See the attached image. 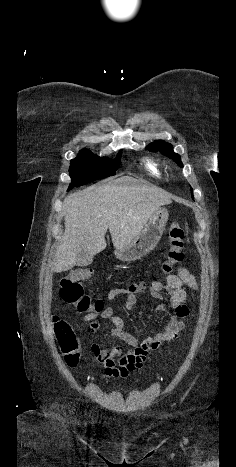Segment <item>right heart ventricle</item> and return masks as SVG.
<instances>
[{
    "label": "right heart ventricle",
    "mask_w": 236,
    "mask_h": 467,
    "mask_svg": "<svg viewBox=\"0 0 236 467\" xmlns=\"http://www.w3.org/2000/svg\"><path fill=\"white\" fill-rule=\"evenodd\" d=\"M145 165H146V168L148 169V171L152 175H154L156 177L161 176V166H160L159 163H157L154 160L147 159L146 162H145Z\"/></svg>",
    "instance_id": "obj_1"
}]
</instances>
